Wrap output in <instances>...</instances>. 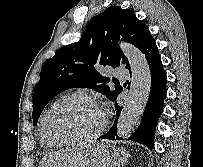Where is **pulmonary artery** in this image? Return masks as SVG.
<instances>
[{
  "label": "pulmonary artery",
  "mask_w": 203,
  "mask_h": 167,
  "mask_svg": "<svg viewBox=\"0 0 203 167\" xmlns=\"http://www.w3.org/2000/svg\"><path fill=\"white\" fill-rule=\"evenodd\" d=\"M113 74H114V76H116L117 78H120V79H125L128 77V71L122 67L114 68Z\"/></svg>",
  "instance_id": "pulmonary-artery-1"
}]
</instances>
